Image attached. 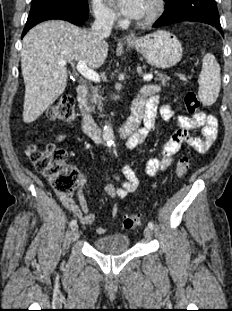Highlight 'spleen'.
Wrapping results in <instances>:
<instances>
[{
  "label": "spleen",
  "instance_id": "spleen-1",
  "mask_svg": "<svg viewBox=\"0 0 232 311\" xmlns=\"http://www.w3.org/2000/svg\"><path fill=\"white\" fill-rule=\"evenodd\" d=\"M204 54V51H202ZM221 78L220 66L213 54H204L202 59V70L199 75V99L203 105H212L220 91Z\"/></svg>",
  "mask_w": 232,
  "mask_h": 311
}]
</instances>
